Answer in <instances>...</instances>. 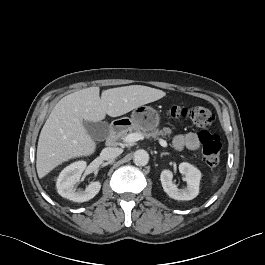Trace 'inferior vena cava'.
Masks as SVG:
<instances>
[{"label": "inferior vena cava", "mask_w": 265, "mask_h": 265, "mask_svg": "<svg viewBox=\"0 0 265 265\" xmlns=\"http://www.w3.org/2000/svg\"><path fill=\"white\" fill-rule=\"evenodd\" d=\"M122 152L123 150L121 148L107 147L101 151V157L104 160H111L118 157Z\"/></svg>", "instance_id": "inferior-vena-cava-1"}]
</instances>
